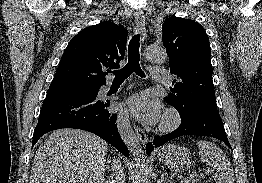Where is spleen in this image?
Here are the masks:
<instances>
[{"mask_svg":"<svg viewBox=\"0 0 262 183\" xmlns=\"http://www.w3.org/2000/svg\"><path fill=\"white\" fill-rule=\"evenodd\" d=\"M201 161L215 169L216 183H234V171L227 156L214 143L200 140L196 142Z\"/></svg>","mask_w":262,"mask_h":183,"instance_id":"3e777b00","label":"spleen"}]
</instances>
